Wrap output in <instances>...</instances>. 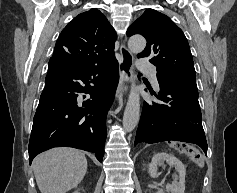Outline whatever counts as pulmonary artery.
<instances>
[{
    "label": "pulmonary artery",
    "mask_w": 237,
    "mask_h": 193,
    "mask_svg": "<svg viewBox=\"0 0 237 193\" xmlns=\"http://www.w3.org/2000/svg\"><path fill=\"white\" fill-rule=\"evenodd\" d=\"M137 68L139 71L148 73L151 77V80L153 82V85L156 89L159 88L158 80H157V73H156V67L149 63L146 58L142 57L139 59Z\"/></svg>",
    "instance_id": "obj_1"
}]
</instances>
